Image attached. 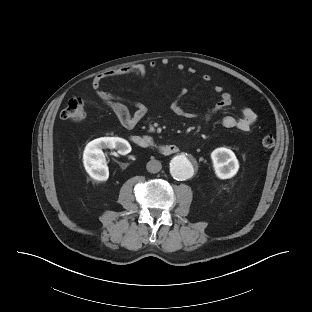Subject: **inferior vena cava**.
Returning a JSON list of instances; mask_svg holds the SVG:
<instances>
[{
  "label": "inferior vena cava",
  "instance_id": "602c4592",
  "mask_svg": "<svg viewBox=\"0 0 312 312\" xmlns=\"http://www.w3.org/2000/svg\"><path fill=\"white\" fill-rule=\"evenodd\" d=\"M146 168H147L148 172H150V173H157L161 170L162 165H161L160 161H158V160H150L147 163Z\"/></svg>",
  "mask_w": 312,
  "mask_h": 312
}]
</instances>
